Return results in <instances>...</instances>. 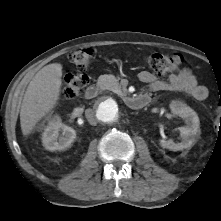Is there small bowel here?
<instances>
[{
	"instance_id": "1",
	"label": "small bowel",
	"mask_w": 221,
	"mask_h": 221,
	"mask_svg": "<svg viewBox=\"0 0 221 221\" xmlns=\"http://www.w3.org/2000/svg\"><path fill=\"white\" fill-rule=\"evenodd\" d=\"M138 77L141 82L148 84L152 91L185 92L200 101L209 97L207 87L199 84L197 77L189 68H183L178 73L172 74L168 81L158 80L148 71L140 72Z\"/></svg>"
}]
</instances>
